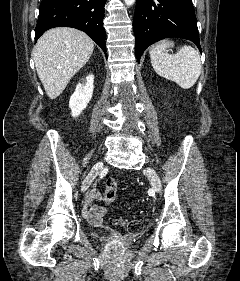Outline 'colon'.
I'll return each mask as SVG.
<instances>
[{
	"instance_id": "colon-1",
	"label": "colon",
	"mask_w": 240,
	"mask_h": 281,
	"mask_svg": "<svg viewBox=\"0 0 240 281\" xmlns=\"http://www.w3.org/2000/svg\"><path fill=\"white\" fill-rule=\"evenodd\" d=\"M117 196V182L115 179H108L103 191L102 199L108 206L114 204ZM117 222L125 227V230L130 234H139L142 231L143 225L139 220H117Z\"/></svg>"
}]
</instances>
